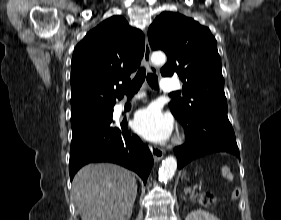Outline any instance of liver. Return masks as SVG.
Returning a JSON list of instances; mask_svg holds the SVG:
<instances>
[{
  "instance_id": "6515ba94",
  "label": "liver",
  "mask_w": 281,
  "mask_h": 220,
  "mask_svg": "<svg viewBox=\"0 0 281 220\" xmlns=\"http://www.w3.org/2000/svg\"><path fill=\"white\" fill-rule=\"evenodd\" d=\"M81 220H129L137 194L133 173L110 163L82 167L72 182Z\"/></svg>"
}]
</instances>
